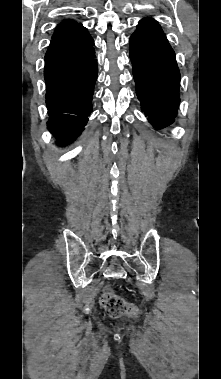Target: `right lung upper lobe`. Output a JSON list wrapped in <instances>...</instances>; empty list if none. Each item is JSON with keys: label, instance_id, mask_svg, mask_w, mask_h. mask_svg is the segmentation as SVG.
I'll return each mask as SVG.
<instances>
[{"label": "right lung upper lobe", "instance_id": "obj_1", "mask_svg": "<svg viewBox=\"0 0 221 379\" xmlns=\"http://www.w3.org/2000/svg\"><path fill=\"white\" fill-rule=\"evenodd\" d=\"M78 24L76 21H72V20H65L64 22H62L55 30L52 38L54 37H57L59 35H62L72 29H74L75 27H77Z\"/></svg>", "mask_w": 221, "mask_h": 379}]
</instances>
